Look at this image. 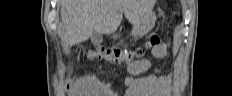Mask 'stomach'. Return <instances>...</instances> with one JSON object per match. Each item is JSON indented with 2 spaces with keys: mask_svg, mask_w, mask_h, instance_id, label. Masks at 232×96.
Listing matches in <instances>:
<instances>
[{
  "mask_svg": "<svg viewBox=\"0 0 232 96\" xmlns=\"http://www.w3.org/2000/svg\"><path fill=\"white\" fill-rule=\"evenodd\" d=\"M156 15L154 12H149L144 16L139 24L134 26L135 35H143L148 33L155 25Z\"/></svg>",
  "mask_w": 232,
  "mask_h": 96,
  "instance_id": "0dacf381",
  "label": "stomach"
}]
</instances>
